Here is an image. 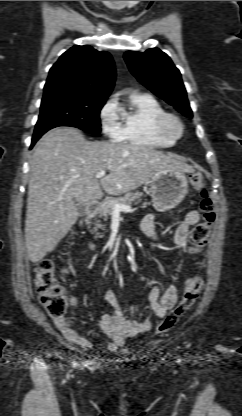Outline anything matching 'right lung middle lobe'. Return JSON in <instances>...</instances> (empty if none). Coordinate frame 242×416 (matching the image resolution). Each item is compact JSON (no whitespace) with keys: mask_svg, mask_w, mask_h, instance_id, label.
<instances>
[{"mask_svg":"<svg viewBox=\"0 0 242 416\" xmlns=\"http://www.w3.org/2000/svg\"><path fill=\"white\" fill-rule=\"evenodd\" d=\"M106 98H87L57 94L43 97L33 136L43 135L58 126H72L88 133L101 131L100 110Z\"/></svg>","mask_w":242,"mask_h":416,"instance_id":"obj_1","label":"right lung middle lobe"}]
</instances>
